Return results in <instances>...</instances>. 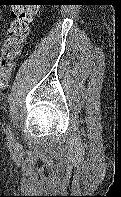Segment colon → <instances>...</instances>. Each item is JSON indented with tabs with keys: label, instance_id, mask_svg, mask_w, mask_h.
Returning a JSON list of instances; mask_svg holds the SVG:
<instances>
[{
	"label": "colon",
	"instance_id": "obj_1",
	"mask_svg": "<svg viewBox=\"0 0 121 197\" xmlns=\"http://www.w3.org/2000/svg\"><path fill=\"white\" fill-rule=\"evenodd\" d=\"M33 0H12V21L6 31V38L0 54V88L7 86L13 63L21 51L29 25L37 14Z\"/></svg>",
	"mask_w": 121,
	"mask_h": 197
}]
</instances>
